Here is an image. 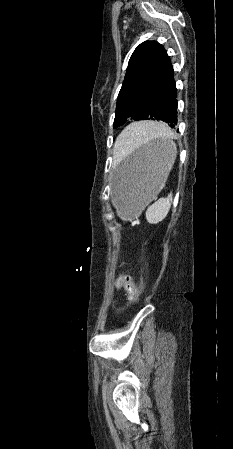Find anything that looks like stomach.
Instances as JSON below:
<instances>
[{
    "mask_svg": "<svg viewBox=\"0 0 233 449\" xmlns=\"http://www.w3.org/2000/svg\"><path fill=\"white\" fill-rule=\"evenodd\" d=\"M173 141L151 142L123 161L113 178V203L123 220L138 216L162 189L174 161Z\"/></svg>",
    "mask_w": 233,
    "mask_h": 449,
    "instance_id": "obj_1",
    "label": "stomach"
}]
</instances>
